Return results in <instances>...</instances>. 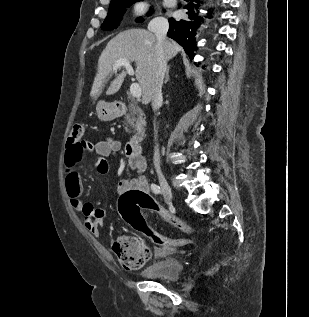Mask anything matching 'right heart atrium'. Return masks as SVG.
<instances>
[{
	"instance_id": "obj_1",
	"label": "right heart atrium",
	"mask_w": 309,
	"mask_h": 317,
	"mask_svg": "<svg viewBox=\"0 0 309 317\" xmlns=\"http://www.w3.org/2000/svg\"><path fill=\"white\" fill-rule=\"evenodd\" d=\"M149 11V4L146 1L138 0L132 5L131 12L134 16H143Z\"/></svg>"
}]
</instances>
